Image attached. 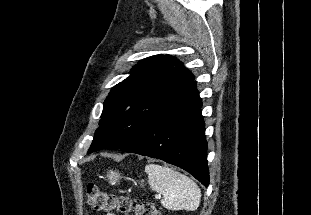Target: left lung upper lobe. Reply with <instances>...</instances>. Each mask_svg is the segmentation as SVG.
Listing matches in <instances>:
<instances>
[{
	"mask_svg": "<svg viewBox=\"0 0 311 215\" xmlns=\"http://www.w3.org/2000/svg\"><path fill=\"white\" fill-rule=\"evenodd\" d=\"M193 80L194 75L175 57L160 54L140 61L107 96L88 153L129 144Z\"/></svg>",
	"mask_w": 311,
	"mask_h": 215,
	"instance_id": "obj_1",
	"label": "left lung upper lobe"
}]
</instances>
